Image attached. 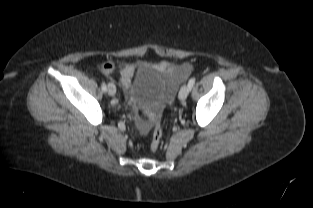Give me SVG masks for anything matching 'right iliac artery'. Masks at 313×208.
<instances>
[{
	"label": "right iliac artery",
	"mask_w": 313,
	"mask_h": 208,
	"mask_svg": "<svg viewBox=\"0 0 313 208\" xmlns=\"http://www.w3.org/2000/svg\"><path fill=\"white\" fill-rule=\"evenodd\" d=\"M101 88H102V90H103L104 92L107 91V87H106L105 82L102 83Z\"/></svg>",
	"instance_id": "82829eb1"
}]
</instances>
